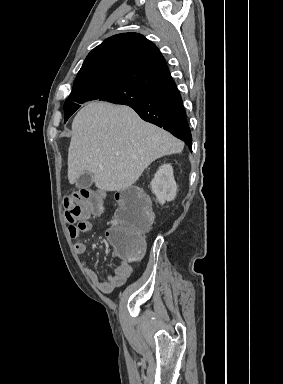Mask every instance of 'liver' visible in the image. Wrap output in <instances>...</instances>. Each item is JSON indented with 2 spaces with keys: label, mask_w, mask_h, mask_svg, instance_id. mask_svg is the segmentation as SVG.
<instances>
[{
  "label": "liver",
  "mask_w": 283,
  "mask_h": 384,
  "mask_svg": "<svg viewBox=\"0 0 283 384\" xmlns=\"http://www.w3.org/2000/svg\"><path fill=\"white\" fill-rule=\"evenodd\" d=\"M68 150V180L90 172L96 188L127 190L162 156L180 154L184 142L143 122L128 106L89 102L76 114Z\"/></svg>",
  "instance_id": "obj_1"
}]
</instances>
